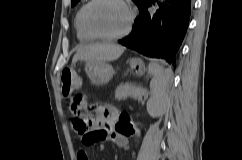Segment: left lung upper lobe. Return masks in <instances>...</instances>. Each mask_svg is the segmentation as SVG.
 <instances>
[{
	"label": "left lung upper lobe",
	"mask_w": 242,
	"mask_h": 160,
	"mask_svg": "<svg viewBox=\"0 0 242 160\" xmlns=\"http://www.w3.org/2000/svg\"><path fill=\"white\" fill-rule=\"evenodd\" d=\"M79 0H72V7L76 5V3L78 2ZM134 3L138 6V8L140 9L143 5V3L145 2V0H133Z\"/></svg>",
	"instance_id": "left-lung-upper-lobe-1"
}]
</instances>
